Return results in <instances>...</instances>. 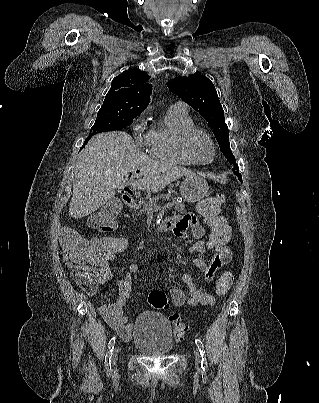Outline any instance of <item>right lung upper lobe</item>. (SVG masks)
Returning <instances> with one entry per match:
<instances>
[{"label":"right lung upper lobe","instance_id":"right-lung-upper-lobe-1","mask_svg":"<svg viewBox=\"0 0 319 403\" xmlns=\"http://www.w3.org/2000/svg\"><path fill=\"white\" fill-rule=\"evenodd\" d=\"M149 75L140 70L124 71L112 80L103 104L125 105L143 111L149 104L151 84L146 83Z\"/></svg>","mask_w":319,"mask_h":403}]
</instances>
